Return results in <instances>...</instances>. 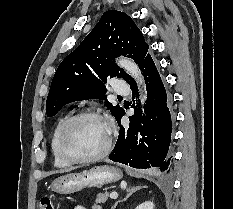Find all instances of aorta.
I'll use <instances>...</instances> for the list:
<instances>
[{
	"label": "aorta",
	"mask_w": 233,
	"mask_h": 209,
	"mask_svg": "<svg viewBox=\"0 0 233 209\" xmlns=\"http://www.w3.org/2000/svg\"><path fill=\"white\" fill-rule=\"evenodd\" d=\"M117 63L121 68H123L128 74H130L136 80L139 86L141 98L144 99L145 84H144L143 76L137 64L133 60L123 57L119 58L117 60Z\"/></svg>",
	"instance_id": "1"
}]
</instances>
